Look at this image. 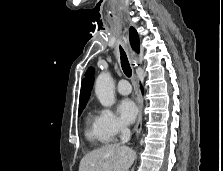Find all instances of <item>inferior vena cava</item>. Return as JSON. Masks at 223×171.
<instances>
[{"instance_id":"obj_1","label":"inferior vena cava","mask_w":223,"mask_h":171,"mask_svg":"<svg viewBox=\"0 0 223 171\" xmlns=\"http://www.w3.org/2000/svg\"><path fill=\"white\" fill-rule=\"evenodd\" d=\"M131 132L126 125L121 126V144H125L130 140Z\"/></svg>"}]
</instances>
